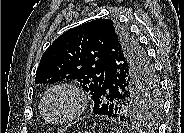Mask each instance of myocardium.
Here are the masks:
<instances>
[{
  "mask_svg": "<svg viewBox=\"0 0 184 133\" xmlns=\"http://www.w3.org/2000/svg\"><path fill=\"white\" fill-rule=\"evenodd\" d=\"M57 91L66 92L72 97L73 108L66 116L58 119H53L48 115L46 111V102L48 98ZM85 105H86L85 97L80 88H78L73 84L60 83L52 86L45 92L40 102V112L47 122L54 125H61V124L70 123L76 120L85 110Z\"/></svg>",
  "mask_w": 184,
  "mask_h": 133,
  "instance_id": "1",
  "label": "myocardium"
}]
</instances>
